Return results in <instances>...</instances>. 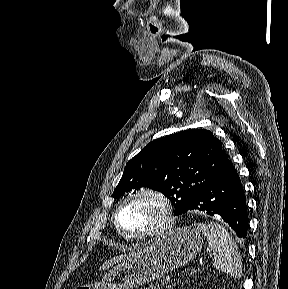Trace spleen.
Returning <instances> with one entry per match:
<instances>
[{
	"label": "spleen",
	"instance_id": "spleen-1",
	"mask_svg": "<svg viewBox=\"0 0 288 289\" xmlns=\"http://www.w3.org/2000/svg\"><path fill=\"white\" fill-rule=\"evenodd\" d=\"M195 226L205 236L209 247L214 251V268L235 279H240L242 276L241 255L228 231L217 222L198 223Z\"/></svg>",
	"mask_w": 288,
	"mask_h": 289
}]
</instances>
